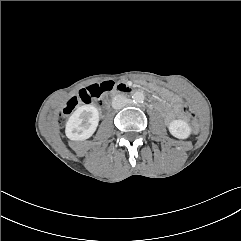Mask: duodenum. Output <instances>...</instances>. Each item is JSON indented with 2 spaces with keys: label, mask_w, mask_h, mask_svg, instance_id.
Here are the masks:
<instances>
[{
  "label": "duodenum",
  "mask_w": 241,
  "mask_h": 241,
  "mask_svg": "<svg viewBox=\"0 0 241 241\" xmlns=\"http://www.w3.org/2000/svg\"><path fill=\"white\" fill-rule=\"evenodd\" d=\"M113 89V92H116V93H127L130 91V88L128 85L124 84V83H120V84H117V85H114L111 87L110 90Z\"/></svg>",
  "instance_id": "obj_1"
}]
</instances>
